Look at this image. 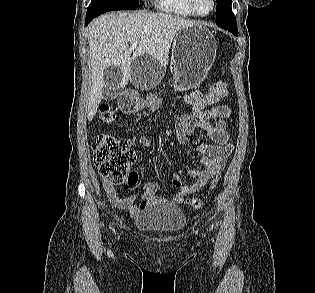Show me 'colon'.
<instances>
[{
	"label": "colon",
	"mask_w": 315,
	"mask_h": 293,
	"mask_svg": "<svg viewBox=\"0 0 315 293\" xmlns=\"http://www.w3.org/2000/svg\"><path fill=\"white\" fill-rule=\"evenodd\" d=\"M213 84L207 93H230L226 83L221 78H214ZM229 85V84H228ZM99 118L102 122L112 123L116 119L114 110L109 105H103L99 110ZM93 158L95 165L104 181L111 185L128 183L133 185L136 182V174L130 167L135 160V154L130 149L126 139L114 135L100 134L92 140ZM220 181V176L215 175L210 180L208 187L201 195L187 199V205L192 209H200L204 200L208 197Z\"/></svg>",
	"instance_id": "colon-1"
}]
</instances>
